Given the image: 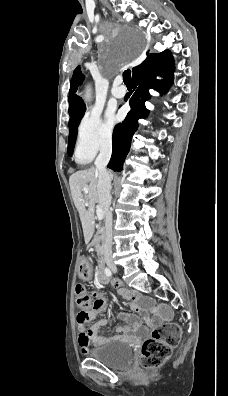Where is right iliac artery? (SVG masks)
<instances>
[{
    "label": "right iliac artery",
    "instance_id": "right-iliac-artery-1",
    "mask_svg": "<svg viewBox=\"0 0 228 396\" xmlns=\"http://www.w3.org/2000/svg\"><path fill=\"white\" fill-rule=\"evenodd\" d=\"M105 274H106V276H108V277H110V276L112 275L110 269H108V268H105Z\"/></svg>",
    "mask_w": 228,
    "mask_h": 396
}]
</instances>
